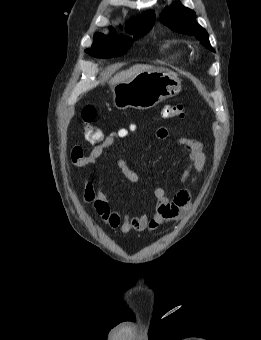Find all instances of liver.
Masks as SVG:
<instances>
[{"mask_svg": "<svg viewBox=\"0 0 261 340\" xmlns=\"http://www.w3.org/2000/svg\"><path fill=\"white\" fill-rule=\"evenodd\" d=\"M149 70H157L155 67L151 65H145V64H137L132 67H130L127 70L121 71L117 73L114 77L110 80V85L114 86L118 83L127 81L135 77L136 75L149 71Z\"/></svg>", "mask_w": 261, "mask_h": 340, "instance_id": "1", "label": "liver"}]
</instances>
